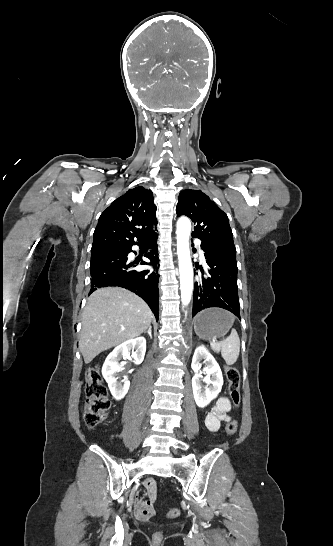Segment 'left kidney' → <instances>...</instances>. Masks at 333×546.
<instances>
[{
	"label": "left kidney",
	"mask_w": 333,
	"mask_h": 546,
	"mask_svg": "<svg viewBox=\"0 0 333 546\" xmlns=\"http://www.w3.org/2000/svg\"><path fill=\"white\" fill-rule=\"evenodd\" d=\"M202 360L205 363V368L203 369L205 377H202L201 372H199ZM191 367L195 372L192 378L194 399L197 406L203 408L216 398L221 391L223 385L222 372L215 358L203 345L195 349ZM201 381L205 382L209 387H205V390H202Z\"/></svg>",
	"instance_id": "left-kidney-1"
}]
</instances>
